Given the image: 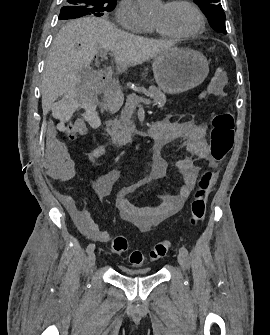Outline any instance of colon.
<instances>
[{"label": "colon", "instance_id": "colon-1", "mask_svg": "<svg viewBox=\"0 0 270 335\" xmlns=\"http://www.w3.org/2000/svg\"><path fill=\"white\" fill-rule=\"evenodd\" d=\"M227 82L225 69L216 68L208 82L206 93L209 96L219 95ZM234 143V117L229 111L218 112L212 119L210 133V157L215 162H222L228 156ZM216 169H206L199 181L191 207L188 213V221L192 225L200 224L205 216L206 198L210 188L216 181ZM168 242L156 244L148 253L132 251L129 254V262L135 266H141L166 256L170 251ZM111 248L116 254H124L128 250V241L124 235H116L111 240Z\"/></svg>", "mask_w": 270, "mask_h": 335}]
</instances>
